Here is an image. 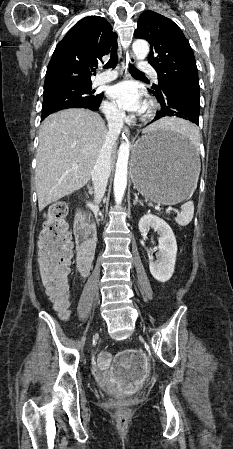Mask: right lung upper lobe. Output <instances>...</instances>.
Returning <instances> with one entry per match:
<instances>
[{
  "label": "right lung upper lobe",
  "instance_id": "cb5924a9",
  "mask_svg": "<svg viewBox=\"0 0 233 449\" xmlns=\"http://www.w3.org/2000/svg\"><path fill=\"white\" fill-rule=\"evenodd\" d=\"M111 46L117 47V34L105 18L88 16L80 20L56 46L47 67L44 92L91 84L90 70Z\"/></svg>",
  "mask_w": 233,
  "mask_h": 449
}]
</instances>
